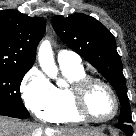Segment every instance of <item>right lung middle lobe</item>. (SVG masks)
<instances>
[{
    "mask_svg": "<svg viewBox=\"0 0 136 136\" xmlns=\"http://www.w3.org/2000/svg\"><path fill=\"white\" fill-rule=\"evenodd\" d=\"M29 70L0 68V115L28 118L19 93L20 84Z\"/></svg>",
    "mask_w": 136,
    "mask_h": 136,
    "instance_id": "right-lung-middle-lobe-1",
    "label": "right lung middle lobe"
}]
</instances>
